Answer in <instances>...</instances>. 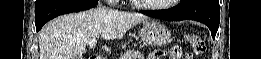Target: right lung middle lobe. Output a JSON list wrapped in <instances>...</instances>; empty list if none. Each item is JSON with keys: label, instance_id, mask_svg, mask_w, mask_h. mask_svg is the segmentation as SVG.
<instances>
[{"label": "right lung middle lobe", "instance_id": "1", "mask_svg": "<svg viewBox=\"0 0 261 59\" xmlns=\"http://www.w3.org/2000/svg\"><path fill=\"white\" fill-rule=\"evenodd\" d=\"M42 0H36L35 5H39Z\"/></svg>", "mask_w": 261, "mask_h": 59}]
</instances>
